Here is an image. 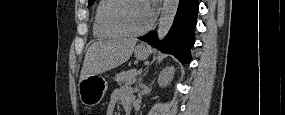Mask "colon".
<instances>
[{"instance_id": "colon-1", "label": "colon", "mask_w": 285, "mask_h": 115, "mask_svg": "<svg viewBox=\"0 0 285 115\" xmlns=\"http://www.w3.org/2000/svg\"><path fill=\"white\" fill-rule=\"evenodd\" d=\"M89 115H94V113H90Z\"/></svg>"}]
</instances>
